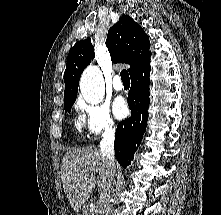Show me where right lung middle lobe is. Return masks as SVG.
<instances>
[{
	"label": "right lung middle lobe",
	"mask_w": 221,
	"mask_h": 215,
	"mask_svg": "<svg viewBox=\"0 0 221 215\" xmlns=\"http://www.w3.org/2000/svg\"><path fill=\"white\" fill-rule=\"evenodd\" d=\"M74 102H75V100L65 102V103H64V109H65V111L70 112V111H71V108H72V105L74 104Z\"/></svg>",
	"instance_id": "obj_1"
}]
</instances>
